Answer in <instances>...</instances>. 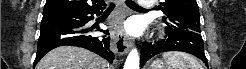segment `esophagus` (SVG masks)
Here are the masks:
<instances>
[{
	"mask_svg": "<svg viewBox=\"0 0 246 69\" xmlns=\"http://www.w3.org/2000/svg\"><path fill=\"white\" fill-rule=\"evenodd\" d=\"M131 46H132V42L129 39L128 35L125 32L114 28V31L111 35V44H110L111 50L115 54L121 56L126 54Z\"/></svg>",
	"mask_w": 246,
	"mask_h": 69,
	"instance_id": "1",
	"label": "esophagus"
}]
</instances>
